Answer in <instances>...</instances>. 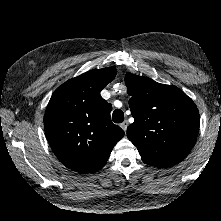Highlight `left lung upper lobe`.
Returning <instances> with one entry per match:
<instances>
[{"mask_svg": "<svg viewBox=\"0 0 221 221\" xmlns=\"http://www.w3.org/2000/svg\"><path fill=\"white\" fill-rule=\"evenodd\" d=\"M134 122L128 139L144 163L171 167L191 151L199 131V113L194 102L179 88L148 77L125 76Z\"/></svg>", "mask_w": 221, "mask_h": 221, "instance_id": "left-lung-upper-lobe-1", "label": "left lung upper lobe"}]
</instances>
